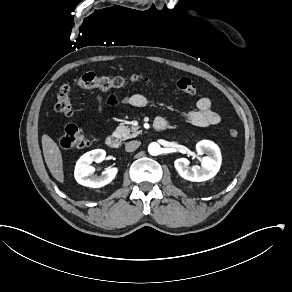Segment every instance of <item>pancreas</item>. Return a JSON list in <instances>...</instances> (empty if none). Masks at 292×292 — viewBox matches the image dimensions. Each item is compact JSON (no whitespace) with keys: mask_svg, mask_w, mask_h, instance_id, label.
Returning a JSON list of instances; mask_svg holds the SVG:
<instances>
[{"mask_svg":"<svg viewBox=\"0 0 292 292\" xmlns=\"http://www.w3.org/2000/svg\"><path fill=\"white\" fill-rule=\"evenodd\" d=\"M140 133L141 131L137 126H119L113 134L120 140H127L137 137V135Z\"/></svg>","mask_w":292,"mask_h":292,"instance_id":"obj_1","label":"pancreas"}]
</instances>
